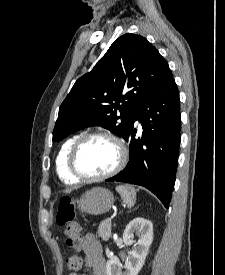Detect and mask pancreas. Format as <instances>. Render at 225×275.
I'll return each instance as SVG.
<instances>
[{
	"mask_svg": "<svg viewBox=\"0 0 225 275\" xmlns=\"http://www.w3.org/2000/svg\"><path fill=\"white\" fill-rule=\"evenodd\" d=\"M97 233L103 241H108L111 235V222L107 220L102 221Z\"/></svg>",
	"mask_w": 225,
	"mask_h": 275,
	"instance_id": "obj_1",
	"label": "pancreas"
}]
</instances>
